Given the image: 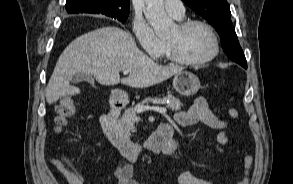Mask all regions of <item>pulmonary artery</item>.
<instances>
[{"mask_svg": "<svg viewBox=\"0 0 293 184\" xmlns=\"http://www.w3.org/2000/svg\"><path fill=\"white\" fill-rule=\"evenodd\" d=\"M165 9L169 15L178 20L185 15V8L181 0H166Z\"/></svg>", "mask_w": 293, "mask_h": 184, "instance_id": "1", "label": "pulmonary artery"}]
</instances>
